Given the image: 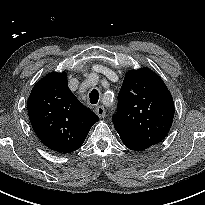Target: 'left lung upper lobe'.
Here are the masks:
<instances>
[{
  "mask_svg": "<svg viewBox=\"0 0 205 205\" xmlns=\"http://www.w3.org/2000/svg\"><path fill=\"white\" fill-rule=\"evenodd\" d=\"M173 117V98L155 72L148 68L127 72L113 117L116 131L152 146L166 137Z\"/></svg>",
  "mask_w": 205,
  "mask_h": 205,
  "instance_id": "obj_1",
  "label": "left lung upper lobe"
}]
</instances>
